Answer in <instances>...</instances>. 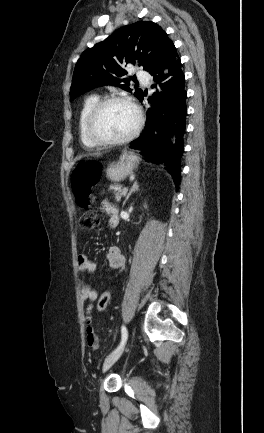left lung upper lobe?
Here are the masks:
<instances>
[{"mask_svg":"<svg viewBox=\"0 0 264 433\" xmlns=\"http://www.w3.org/2000/svg\"><path fill=\"white\" fill-rule=\"evenodd\" d=\"M175 49L166 32L152 21H138L124 26L81 55L74 69L70 100L104 85L132 92L130 79H122L127 75L124 65L138 64L151 73ZM142 94L141 89L134 91L138 99Z\"/></svg>","mask_w":264,"mask_h":433,"instance_id":"obj_1","label":"left lung upper lobe"}]
</instances>
